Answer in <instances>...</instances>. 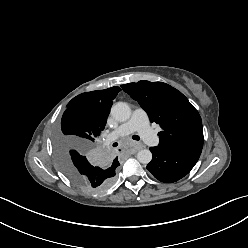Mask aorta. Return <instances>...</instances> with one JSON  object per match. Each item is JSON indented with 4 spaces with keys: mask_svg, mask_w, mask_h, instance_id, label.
<instances>
[{
    "mask_svg": "<svg viewBox=\"0 0 248 248\" xmlns=\"http://www.w3.org/2000/svg\"><path fill=\"white\" fill-rule=\"evenodd\" d=\"M112 117L119 121L125 122L131 116V109L125 102H118L111 108ZM137 159L142 164H148L152 160V153L148 149H142L137 153Z\"/></svg>",
    "mask_w": 248,
    "mask_h": 248,
    "instance_id": "obj_1",
    "label": "aorta"
}]
</instances>
